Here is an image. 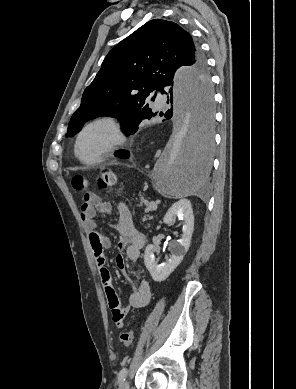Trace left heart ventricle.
Masks as SVG:
<instances>
[{
    "mask_svg": "<svg viewBox=\"0 0 296 389\" xmlns=\"http://www.w3.org/2000/svg\"><path fill=\"white\" fill-rule=\"evenodd\" d=\"M110 132L106 127L90 129L81 139L79 153L84 159L96 158L110 141Z\"/></svg>",
    "mask_w": 296,
    "mask_h": 389,
    "instance_id": "1",
    "label": "left heart ventricle"
}]
</instances>
